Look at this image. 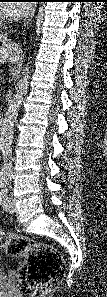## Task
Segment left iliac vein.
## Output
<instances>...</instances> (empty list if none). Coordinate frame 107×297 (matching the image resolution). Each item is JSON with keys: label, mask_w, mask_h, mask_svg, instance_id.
<instances>
[{"label": "left iliac vein", "mask_w": 107, "mask_h": 297, "mask_svg": "<svg viewBox=\"0 0 107 297\" xmlns=\"http://www.w3.org/2000/svg\"><path fill=\"white\" fill-rule=\"evenodd\" d=\"M4 208L9 213L16 212V207L14 205V201H13V198L12 197L7 198L6 204L4 205Z\"/></svg>", "instance_id": "1"}]
</instances>
